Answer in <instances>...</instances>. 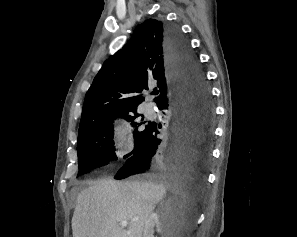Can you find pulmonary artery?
Returning <instances> with one entry per match:
<instances>
[{
	"instance_id": "pulmonary-artery-1",
	"label": "pulmonary artery",
	"mask_w": 297,
	"mask_h": 237,
	"mask_svg": "<svg viewBox=\"0 0 297 237\" xmlns=\"http://www.w3.org/2000/svg\"><path fill=\"white\" fill-rule=\"evenodd\" d=\"M155 113V107L153 104H147L146 105V114L148 116H153Z\"/></svg>"
}]
</instances>
